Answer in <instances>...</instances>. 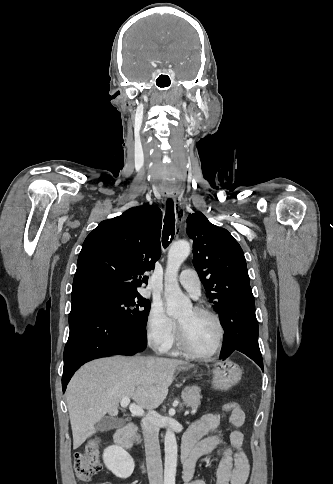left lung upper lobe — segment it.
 Instances as JSON below:
<instances>
[{
    "label": "left lung upper lobe",
    "mask_w": 333,
    "mask_h": 484,
    "mask_svg": "<svg viewBox=\"0 0 333 484\" xmlns=\"http://www.w3.org/2000/svg\"><path fill=\"white\" fill-rule=\"evenodd\" d=\"M187 234L194 241V266L213 307L220 309L236 292L250 286L244 253L223 228L211 224L201 213L187 218Z\"/></svg>",
    "instance_id": "5c2ea615"
}]
</instances>
